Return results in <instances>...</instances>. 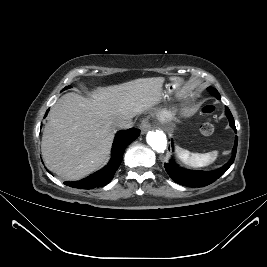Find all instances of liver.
Segmentation results:
<instances>
[{"label": "liver", "mask_w": 267, "mask_h": 267, "mask_svg": "<svg viewBox=\"0 0 267 267\" xmlns=\"http://www.w3.org/2000/svg\"><path fill=\"white\" fill-rule=\"evenodd\" d=\"M163 77L141 78L98 87L91 99L70 92L51 108L41 152L60 178L79 180L100 168L113 142L114 122L150 109L163 94Z\"/></svg>", "instance_id": "liver-1"}]
</instances>
